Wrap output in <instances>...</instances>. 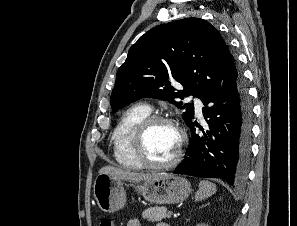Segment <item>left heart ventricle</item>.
<instances>
[{"label":"left heart ventricle","instance_id":"1","mask_svg":"<svg viewBox=\"0 0 297 226\" xmlns=\"http://www.w3.org/2000/svg\"><path fill=\"white\" fill-rule=\"evenodd\" d=\"M178 145L176 129L164 122L153 124L145 137V152L149 159L156 163L170 160Z\"/></svg>","mask_w":297,"mask_h":226}]
</instances>
